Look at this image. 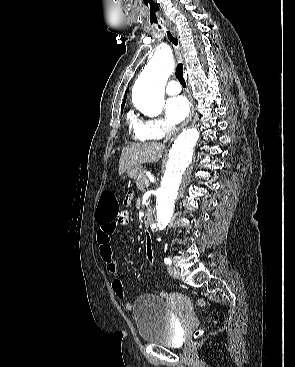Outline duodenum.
<instances>
[{"label":"duodenum","mask_w":295,"mask_h":367,"mask_svg":"<svg viewBox=\"0 0 295 367\" xmlns=\"http://www.w3.org/2000/svg\"><path fill=\"white\" fill-rule=\"evenodd\" d=\"M143 222L147 227L153 222V211L151 209L146 210Z\"/></svg>","instance_id":"obj_1"}]
</instances>
